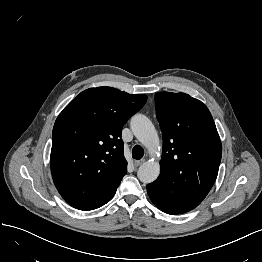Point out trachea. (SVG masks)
Returning a JSON list of instances; mask_svg holds the SVG:
<instances>
[{
	"instance_id": "trachea-1",
	"label": "trachea",
	"mask_w": 262,
	"mask_h": 262,
	"mask_svg": "<svg viewBox=\"0 0 262 262\" xmlns=\"http://www.w3.org/2000/svg\"><path fill=\"white\" fill-rule=\"evenodd\" d=\"M144 155V150L140 145H135L132 149V157L134 159H141Z\"/></svg>"
}]
</instances>
